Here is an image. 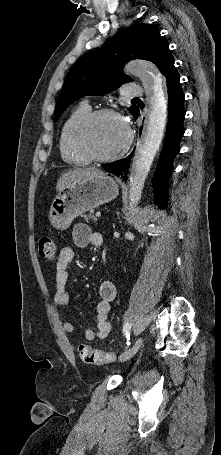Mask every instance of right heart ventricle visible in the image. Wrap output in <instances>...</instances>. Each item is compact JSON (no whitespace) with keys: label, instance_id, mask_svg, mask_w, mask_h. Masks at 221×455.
I'll list each match as a JSON object with an SVG mask.
<instances>
[{"label":"right heart ventricle","instance_id":"obj_1","mask_svg":"<svg viewBox=\"0 0 221 455\" xmlns=\"http://www.w3.org/2000/svg\"><path fill=\"white\" fill-rule=\"evenodd\" d=\"M91 112L87 103H80L65 120L59 140L62 159L71 165H85L90 160L80 151L76 141V130L81 120Z\"/></svg>","mask_w":221,"mask_h":455}]
</instances>
